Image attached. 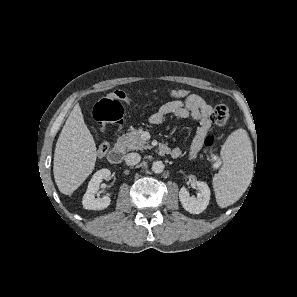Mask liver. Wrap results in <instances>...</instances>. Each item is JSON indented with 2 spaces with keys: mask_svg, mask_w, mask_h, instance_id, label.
<instances>
[{
  "mask_svg": "<svg viewBox=\"0 0 297 297\" xmlns=\"http://www.w3.org/2000/svg\"><path fill=\"white\" fill-rule=\"evenodd\" d=\"M96 145L79 104L71 111L56 143L53 173L59 191L71 195L92 173Z\"/></svg>",
  "mask_w": 297,
  "mask_h": 297,
  "instance_id": "6515ba94",
  "label": "liver"
}]
</instances>
